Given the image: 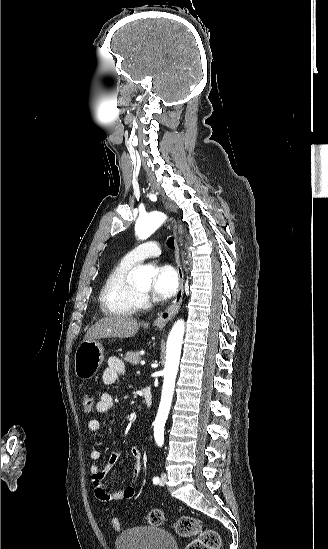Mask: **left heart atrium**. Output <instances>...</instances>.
<instances>
[{"instance_id":"39dd6f15","label":"left heart atrium","mask_w":328,"mask_h":549,"mask_svg":"<svg viewBox=\"0 0 328 549\" xmlns=\"http://www.w3.org/2000/svg\"><path fill=\"white\" fill-rule=\"evenodd\" d=\"M179 284L175 268L170 264H162L154 269L150 292L157 300H166L175 295Z\"/></svg>"}]
</instances>
